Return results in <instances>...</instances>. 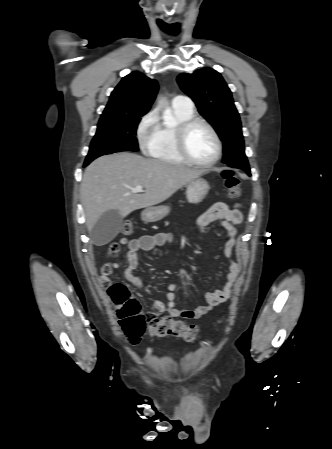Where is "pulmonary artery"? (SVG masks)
Listing matches in <instances>:
<instances>
[{"mask_svg":"<svg viewBox=\"0 0 332 449\" xmlns=\"http://www.w3.org/2000/svg\"><path fill=\"white\" fill-rule=\"evenodd\" d=\"M172 104L176 105V106L184 107L187 109H191V110L193 109V106H194L191 99H189L188 97L183 96V95L175 96L172 100Z\"/></svg>","mask_w":332,"mask_h":449,"instance_id":"1","label":"pulmonary artery"}]
</instances>
